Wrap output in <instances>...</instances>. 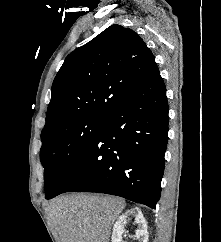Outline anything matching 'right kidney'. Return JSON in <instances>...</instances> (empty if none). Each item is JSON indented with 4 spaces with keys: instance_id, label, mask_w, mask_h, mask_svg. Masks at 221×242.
I'll return each mask as SVG.
<instances>
[{
    "instance_id": "ca27d5eb",
    "label": "right kidney",
    "mask_w": 221,
    "mask_h": 242,
    "mask_svg": "<svg viewBox=\"0 0 221 242\" xmlns=\"http://www.w3.org/2000/svg\"><path fill=\"white\" fill-rule=\"evenodd\" d=\"M131 216L135 218V223L137 224L135 238L139 242H148L147 222L143 217L141 210L137 207L127 210L118 218L113 227L111 236L112 242H123L122 234L125 231L124 224Z\"/></svg>"
}]
</instances>
